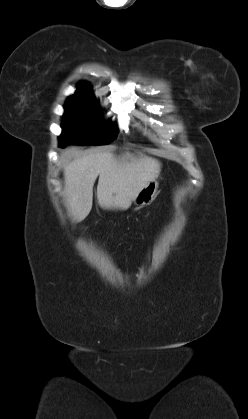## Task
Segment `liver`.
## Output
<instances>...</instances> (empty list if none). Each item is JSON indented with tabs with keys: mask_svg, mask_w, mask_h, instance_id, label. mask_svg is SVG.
I'll return each instance as SVG.
<instances>
[{
	"mask_svg": "<svg viewBox=\"0 0 248 419\" xmlns=\"http://www.w3.org/2000/svg\"><path fill=\"white\" fill-rule=\"evenodd\" d=\"M63 155H76L64 166V196L68 212L77 222L92 209L93 186L99 176L97 199L104 209H128L138 193L160 173V163L153 158L111 152L77 155L75 148Z\"/></svg>",
	"mask_w": 248,
	"mask_h": 419,
	"instance_id": "1",
	"label": "liver"
}]
</instances>
